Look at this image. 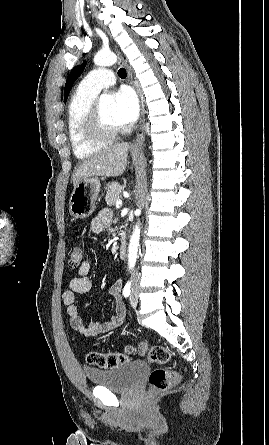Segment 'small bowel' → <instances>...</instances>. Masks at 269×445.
<instances>
[{
  "label": "small bowel",
  "mask_w": 269,
  "mask_h": 445,
  "mask_svg": "<svg viewBox=\"0 0 269 445\" xmlns=\"http://www.w3.org/2000/svg\"><path fill=\"white\" fill-rule=\"evenodd\" d=\"M111 222L112 212L109 209H103L92 219L90 230L93 233H100ZM90 270L91 262L89 260L83 261L77 269L78 275L69 281V289L62 293V301L66 306L71 328L83 336L97 337L120 327L126 318L127 310L121 297L123 281L122 279H118L110 287V294L115 299V314L109 320L102 323L87 324L84 322L75 305V295L91 290L93 281L89 277Z\"/></svg>",
  "instance_id": "small-bowel-1"
}]
</instances>
